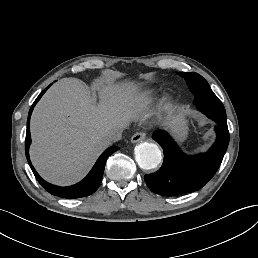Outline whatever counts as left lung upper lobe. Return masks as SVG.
Listing matches in <instances>:
<instances>
[{
	"instance_id": "obj_1",
	"label": "left lung upper lobe",
	"mask_w": 258,
	"mask_h": 258,
	"mask_svg": "<svg viewBox=\"0 0 258 258\" xmlns=\"http://www.w3.org/2000/svg\"><path fill=\"white\" fill-rule=\"evenodd\" d=\"M179 74L185 78L187 85L193 94L199 89H210L208 82L195 72H181Z\"/></svg>"
}]
</instances>
